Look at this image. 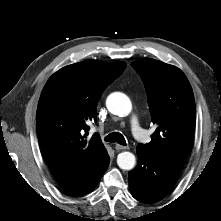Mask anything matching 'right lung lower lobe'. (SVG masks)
Returning <instances> with one entry per match:
<instances>
[{
	"label": "right lung lower lobe",
	"instance_id": "98d812e1",
	"mask_svg": "<svg viewBox=\"0 0 221 221\" xmlns=\"http://www.w3.org/2000/svg\"><path fill=\"white\" fill-rule=\"evenodd\" d=\"M109 165V160L94 176L72 188L64 189L70 195L80 196L91 191L101 179Z\"/></svg>",
	"mask_w": 221,
	"mask_h": 221
}]
</instances>
